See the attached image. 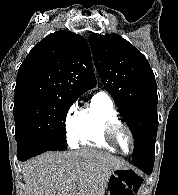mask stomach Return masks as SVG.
Segmentation results:
<instances>
[{"mask_svg":"<svg viewBox=\"0 0 178 195\" xmlns=\"http://www.w3.org/2000/svg\"><path fill=\"white\" fill-rule=\"evenodd\" d=\"M133 173L134 172L129 168L114 170L108 180L106 195L127 194L128 191L125 189H129V187L126 180Z\"/></svg>","mask_w":178,"mask_h":195,"instance_id":"0dacf381","label":"stomach"}]
</instances>
